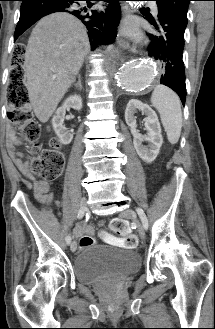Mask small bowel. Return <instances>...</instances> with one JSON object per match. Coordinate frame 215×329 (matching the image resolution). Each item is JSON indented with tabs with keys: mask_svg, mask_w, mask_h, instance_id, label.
Masks as SVG:
<instances>
[{
	"mask_svg": "<svg viewBox=\"0 0 215 329\" xmlns=\"http://www.w3.org/2000/svg\"><path fill=\"white\" fill-rule=\"evenodd\" d=\"M18 143V140L16 139L15 135L13 133L10 134L9 143H8V149L10 152L11 157L13 158L15 164L19 168V170L29 179H32V173L29 168V164L27 161H23L22 155L15 151L14 145ZM34 196L40 202L44 205H51L54 201V196L51 193H48V184L43 181H34ZM95 230L97 231L98 236H104L103 240L105 242H111L114 244H120L122 241L117 238H112L108 236V231L105 229L103 225H97L95 227ZM85 232H91V228L88 227L86 224L79 225L75 233L78 236H82ZM82 238V237H81Z\"/></svg>",
	"mask_w": 215,
	"mask_h": 329,
	"instance_id": "c3829d8e",
	"label": "small bowel"
}]
</instances>
